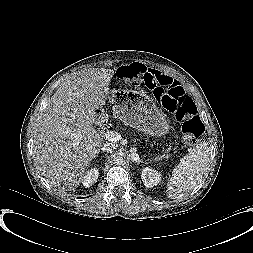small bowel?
Wrapping results in <instances>:
<instances>
[{
  "mask_svg": "<svg viewBox=\"0 0 253 253\" xmlns=\"http://www.w3.org/2000/svg\"><path fill=\"white\" fill-rule=\"evenodd\" d=\"M141 84L152 90L158 87L180 86V83L171 76L152 68H146Z\"/></svg>",
  "mask_w": 253,
  "mask_h": 253,
  "instance_id": "1",
  "label": "small bowel"
}]
</instances>
